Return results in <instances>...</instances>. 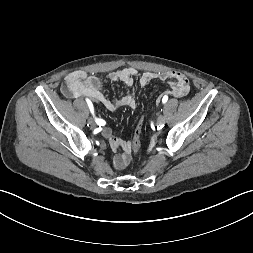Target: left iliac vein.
Here are the masks:
<instances>
[{"mask_svg": "<svg viewBox=\"0 0 253 253\" xmlns=\"http://www.w3.org/2000/svg\"><path fill=\"white\" fill-rule=\"evenodd\" d=\"M165 122H166V119H165L164 116H162V115L158 116V118H157V120H156V123H157L158 125H163V124H165Z\"/></svg>", "mask_w": 253, "mask_h": 253, "instance_id": "1", "label": "left iliac vein"}]
</instances>
